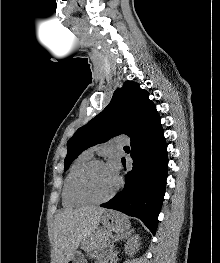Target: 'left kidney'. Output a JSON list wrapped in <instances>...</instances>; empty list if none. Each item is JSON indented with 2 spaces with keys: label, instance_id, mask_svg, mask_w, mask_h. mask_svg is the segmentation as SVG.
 Here are the masks:
<instances>
[{
  "label": "left kidney",
  "instance_id": "obj_1",
  "mask_svg": "<svg viewBox=\"0 0 220 263\" xmlns=\"http://www.w3.org/2000/svg\"><path fill=\"white\" fill-rule=\"evenodd\" d=\"M139 235L131 237L125 245V251L128 255L132 256L139 247Z\"/></svg>",
  "mask_w": 220,
  "mask_h": 263
}]
</instances>
